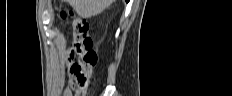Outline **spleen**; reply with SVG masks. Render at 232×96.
Wrapping results in <instances>:
<instances>
[{"mask_svg": "<svg viewBox=\"0 0 232 96\" xmlns=\"http://www.w3.org/2000/svg\"><path fill=\"white\" fill-rule=\"evenodd\" d=\"M76 13L82 18H90L100 14L112 0H68Z\"/></svg>", "mask_w": 232, "mask_h": 96, "instance_id": "3e777b00", "label": "spleen"}]
</instances>
